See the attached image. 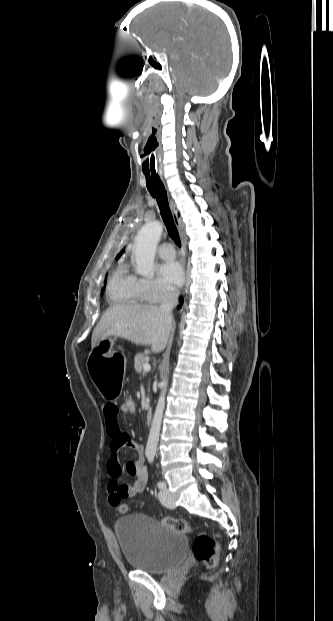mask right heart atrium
I'll use <instances>...</instances> for the list:
<instances>
[{
	"label": "right heart atrium",
	"instance_id": "obj_1",
	"mask_svg": "<svg viewBox=\"0 0 333 621\" xmlns=\"http://www.w3.org/2000/svg\"><path fill=\"white\" fill-rule=\"evenodd\" d=\"M138 285L144 299L150 303L162 302L174 296L173 289L155 279L140 278Z\"/></svg>",
	"mask_w": 333,
	"mask_h": 621
}]
</instances>
